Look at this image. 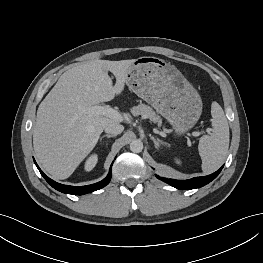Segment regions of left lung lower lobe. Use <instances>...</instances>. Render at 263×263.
Returning <instances> with one entry per match:
<instances>
[{"instance_id": "0a47b994", "label": "left lung lower lobe", "mask_w": 263, "mask_h": 263, "mask_svg": "<svg viewBox=\"0 0 263 263\" xmlns=\"http://www.w3.org/2000/svg\"><path fill=\"white\" fill-rule=\"evenodd\" d=\"M222 168H223V166L218 171H216L215 173H213L211 175L203 176V177H195V178L184 180V181L167 179L164 177H159L158 175H156V177L158 179L168 183L169 185L177 188V189L190 190V189L200 188V187L208 184L212 180H214L218 176V174L220 173Z\"/></svg>"}]
</instances>
